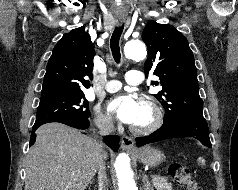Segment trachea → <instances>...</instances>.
<instances>
[{
    "label": "trachea",
    "instance_id": "3493384b",
    "mask_svg": "<svg viewBox=\"0 0 238 190\" xmlns=\"http://www.w3.org/2000/svg\"><path fill=\"white\" fill-rule=\"evenodd\" d=\"M123 29H124V25H122L120 27H116L112 34L111 40H110V47H111L112 55H113L114 60L117 63L120 62V58H121L119 40H120L121 34L123 32Z\"/></svg>",
    "mask_w": 238,
    "mask_h": 190
}]
</instances>
